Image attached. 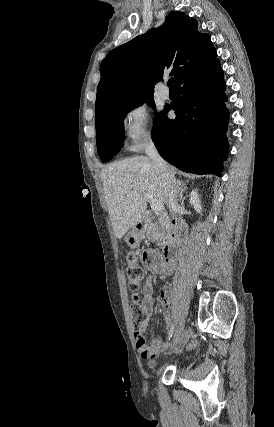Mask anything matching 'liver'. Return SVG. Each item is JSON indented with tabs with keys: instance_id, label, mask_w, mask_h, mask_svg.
I'll return each instance as SVG.
<instances>
[{
	"instance_id": "6515ba94",
	"label": "liver",
	"mask_w": 274,
	"mask_h": 427,
	"mask_svg": "<svg viewBox=\"0 0 274 427\" xmlns=\"http://www.w3.org/2000/svg\"><path fill=\"white\" fill-rule=\"evenodd\" d=\"M174 168L162 172L151 158L134 156L108 164L101 172L105 200L116 237L144 219L150 194L153 200L168 206L171 192L178 194Z\"/></svg>"
}]
</instances>
